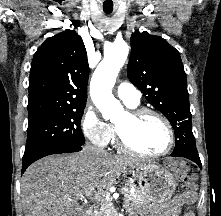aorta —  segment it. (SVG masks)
I'll list each match as a JSON object with an SVG mask.
<instances>
[{"mask_svg":"<svg viewBox=\"0 0 221 216\" xmlns=\"http://www.w3.org/2000/svg\"><path fill=\"white\" fill-rule=\"evenodd\" d=\"M129 52L126 42H114L104 53L90 82V96L105 120H113L123 113L121 103L112 95L116 77Z\"/></svg>","mask_w":221,"mask_h":216,"instance_id":"obj_1","label":"aorta"}]
</instances>
